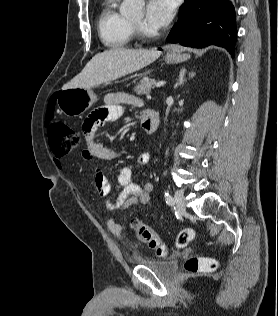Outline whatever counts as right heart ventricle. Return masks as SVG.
<instances>
[{
  "mask_svg": "<svg viewBox=\"0 0 278 316\" xmlns=\"http://www.w3.org/2000/svg\"><path fill=\"white\" fill-rule=\"evenodd\" d=\"M118 0H104L98 16V33L101 42L108 48L128 46L134 28L129 18L117 9Z\"/></svg>",
  "mask_w": 278,
  "mask_h": 316,
  "instance_id": "e07e8e85",
  "label": "right heart ventricle"
}]
</instances>
